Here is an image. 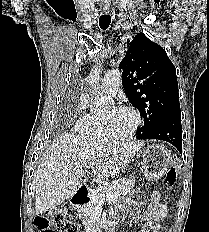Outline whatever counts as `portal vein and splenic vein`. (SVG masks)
Returning a JSON list of instances; mask_svg holds the SVG:
<instances>
[{"mask_svg":"<svg viewBox=\"0 0 209 232\" xmlns=\"http://www.w3.org/2000/svg\"><path fill=\"white\" fill-rule=\"evenodd\" d=\"M92 166H95V163H92ZM90 166H87L86 168H89ZM120 195H122L121 192H112V193H103L101 194V202L108 201V200H115Z\"/></svg>","mask_w":209,"mask_h":232,"instance_id":"obj_1","label":"portal vein and splenic vein"}]
</instances>
